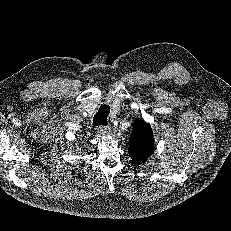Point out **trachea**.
I'll use <instances>...</instances> for the list:
<instances>
[{"label":"trachea","instance_id":"3493384b","mask_svg":"<svg viewBox=\"0 0 231 231\" xmlns=\"http://www.w3.org/2000/svg\"><path fill=\"white\" fill-rule=\"evenodd\" d=\"M110 112L109 105H101L96 115L93 117V126H106L107 125V116Z\"/></svg>","mask_w":231,"mask_h":231}]
</instances>
